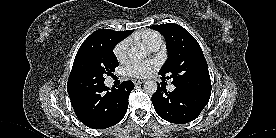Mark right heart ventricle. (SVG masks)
I'll list each match as a JSON object with an SVG mask.
<instances>
[{
	"label": "right heart ventricle",
	"instance_id": "right-heart-ventricle-1",
	"mask_svg": "<svg viewBox=\"0 0 276 138\" xmlns=\"http://www.w3.org/2000/svg\"><path fill=\"white\" fill-rule=\"evenodd\" d=\"M134 38L142 42L149 49L153 50L160 47L162 44V37L155 31L144 30L134 36Z\"/></svg>",
	"mask_w": 276,
	"mask_h": 138
}]
</instances>
